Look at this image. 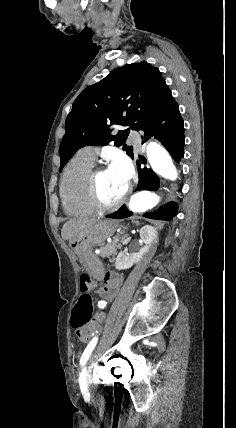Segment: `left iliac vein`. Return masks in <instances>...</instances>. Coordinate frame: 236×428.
<instances>
[{"mask_svg": "<svg viewBox=\"0 0 236 428\" xmlns=\"http://www.w3.org/2000/svg\"><path fill=\"white\" fill-rule=\"evenodd\" d=\"M105 345H109V340H103L100 343L99 347L91 353V356L89 357V360L87 363V370L94 368L95 362L98 360V357H100L103 354L102 350H104Z\"/></svg>", "mask_w": 236, "mask_h": 428, "instance_id": "4c4485c4", "label": "left iliac vein"}]
</instances>
